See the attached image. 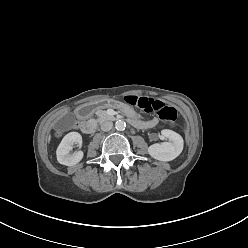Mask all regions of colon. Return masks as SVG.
<instances>
[{
	"label": "colon",
	"instance_id": "colon-1",
	"mask_svg": "<svg viewBox=\"0 0 248 248\" xmlns=\"http://www.w3.org/2000/svg\"><path fill=\"white\" fill-rule=\"evenodd\" d=\"M128 100L146 113L157 114L164 121L175 122L177 119L176 110L160 100L147 97H129Z\"/></svg>",
	"mask_w": 248,
	"mask_h": 248
}]
</instances>
